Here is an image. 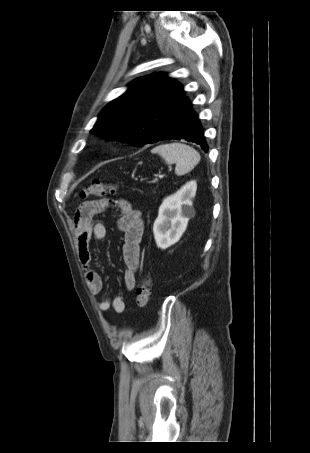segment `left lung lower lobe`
<instances>
[{
	"label": "left lung lower lobe",
	"mask_w": 310,
	"mask_h": 453,
	"mask_svg": "<svg viewBox=\"0 0 310 453\" xmlns=\"http://www.w3.org/2000/svg\"><path fill=\"white\" fill-rule=\"evenodd\" d=\"M181 140L194 142L201 146L202 150L208 151V145L204 136V129L200 120L193 110L192 104L188 97L183 95L180 100L167 130L161 136L160 140Z\"/></svg>",
	"instance_id": "obj_1"
}]
</instances>
